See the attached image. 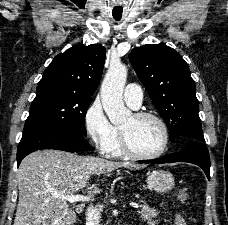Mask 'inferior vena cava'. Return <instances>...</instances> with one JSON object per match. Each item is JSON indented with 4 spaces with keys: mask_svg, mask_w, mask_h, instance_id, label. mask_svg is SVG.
<instances>
[{
    "mask_svg": "<svg viewBox=\"0 0 228 225\" xmlns=\"http://www.w3.org/2000/svg\"><path fill=\"white\" fill-rule=\"evenodd\" d=\"M101 213L96 207H88L86 213V225H99Z\"/></svg>",
    "mask_w": 228,
    "mask_h": 225,
    "instance_id": "602c4592",
    "label": "inferior vena cava"
}]
</instances>
